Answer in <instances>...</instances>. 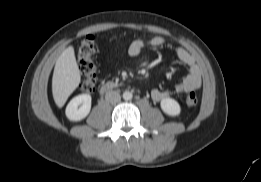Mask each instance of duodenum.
<instances>
[{"instance_id": "obj_1", "label": "duodenum", "mask_w": 261, "mask_h": 182, "mask_svg": "<svg viewBox=\"0 0 261 182\" xmlns=\"http://www.w3.org/2000/svg\"><path fill=\"white\" fill-rule=\"evenodd\" d=\"M116 83L114 82H106L104 84H102L99 88V93L101 95L106 94L107 92H109L110 90L114 89L116 87Z\"/></svg>"}]
</instances>
